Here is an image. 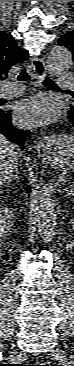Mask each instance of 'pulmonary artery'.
<instances>
[{
  "mask_svg": "<svg viewBox=\"0 0 74 366\" xmlns=\"http://www.w3.org/2000/svg\"><path fill=\"white\" fill-rule=\"evenodd\" d=\"M57 79L58 87L62 89L71 88L74 84L73 78L67 73L58 72ZM22 91V86H18L16 84H8L5 88L2 89V95L4 97L11 98L21 94Z\"/></svg>",
  "mask_w": 74,
  "mask_h": 366,
  "instance_id": "obj_1",
  "label": "pulmonary artery"
}]
</instances>
